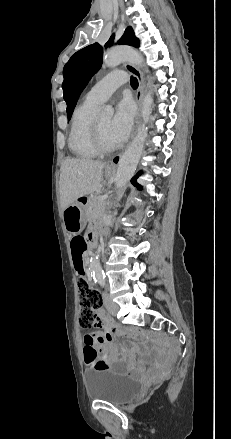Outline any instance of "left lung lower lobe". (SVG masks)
Here are the masks:
<instances>
[{
  "instance_id": "obj_1",
  "label": "left lung lower lobe",
  "mask_w": 231,
  "mask_h": 439,
  "mask_svg": "<svg viewBox=\"0 0 231 439\" xmlns=\"http://www.w3.org/2000/svg\"><path fill=\"white\" fill-rule=\"evenodd\" d=\"M117 160H118V158H116V159H114V162H117ZM140 175V173L139 174H137L132 180H131V182L138 188V189H141V186L139 185V184H137V182H136V179H137V177Z\"/></svg>"
}]
</instances>
